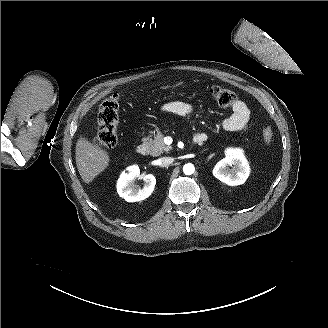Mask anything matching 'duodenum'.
<instances>
[{"label":"duodenum","mask_w":328,"mask_h":328,"mask_svg":"<svg viewBox=\"0 0 328 328\" xmlns=\"http://www.w3.org/2000/svg\"><path fill=\"white\" fill-rule=\"evenodd\" d=\"M206 140V136L204 134H196L193 138V144L195 145H198V144H201L203 143L204 141ZM149 151V147L147 145V143L143 142V143H140L138 146H137V152L140 154V155H147Z\"/></svg>","instance_id":"410a0bca"}]
</instances>
